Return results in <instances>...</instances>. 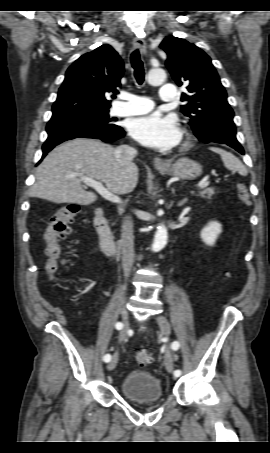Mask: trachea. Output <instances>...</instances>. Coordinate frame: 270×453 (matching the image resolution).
I'll return each instance as SVG.
<instances>
[{
  "label": "trachea",
  "instance_id": "1",
  "mask_svg": "<svg viewBox=\"0 0 270 453\" xmlns=\"http://www.w3.org/2000/svg\"><path fill=\"white\" fill-rule=\"evenodd\" d=\"M131 65L134 69V77L139 85H142L144 82V67L143 62L140 57V53L138 50H135L131 53L130 56Z\"/></svg>",
  "mask_w": 270,
  "mask_h": 453
}]
</instances>
